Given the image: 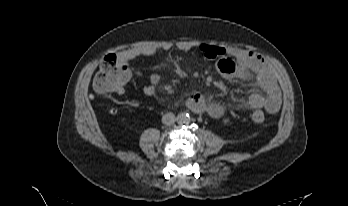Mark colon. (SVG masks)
<instances>
[{
	"label": "colon",
	"mask_w": 348,
	"mask_h": 206,
	"mask_svg": "<svg viewBox=\"0 0 348 206\" xmlns=\"http://www.w3.org/2000/svg\"><path fill=\"white\" fill-rule=\"evenodd\" d=\"M130 82V71L116 54L106 55L95 74L93 85L100 94L119 93ZM116 108H111L110 113H115ZM252 120L256 124L265 121V114L261 110L252 113Z\"/></svg>",
	"instance_id": "obj_1"
}]
</instances>
